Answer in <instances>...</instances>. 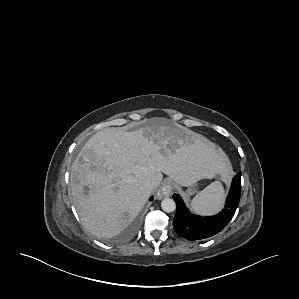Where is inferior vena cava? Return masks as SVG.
I'll return each instance as SVG.
<instances>
[{"instance_id": "602c4592", "label": "inferior vena cava", "mask_w": 299, "mask_h": 299, "mask_svg": "<svg viewBox=\"0 0 299 299\" xmlns=\"http://www.w3.org/2000/svg\"><path fill=\"white\" fill-rule=\"evenodd\" d=\"M145 186L147 187V189H148L149 191H152L153 188H154L153 184H152L150 181L146 182V183H145Z\"/></svg>"}]
</instances>
